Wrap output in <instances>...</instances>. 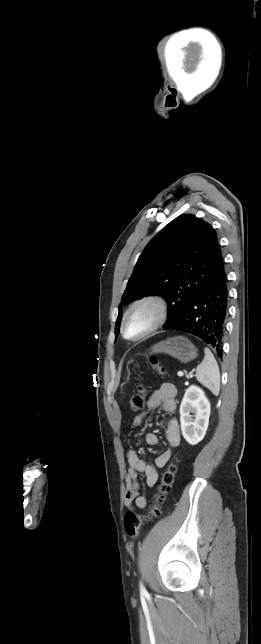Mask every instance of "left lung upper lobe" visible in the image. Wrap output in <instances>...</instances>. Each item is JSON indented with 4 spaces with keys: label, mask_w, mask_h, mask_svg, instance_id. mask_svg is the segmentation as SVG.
I'll use <instances>...</instances> for the list:
<instances>
[{
    "label": "left lung upper lobe",
    "mask_w": 261,
    "mask_h": 644,
    "mask_svg": "<svg viewBox=\"0 0 261 644\" xmlns=\"http://www.w3.org/2000/svg\"><path fill=\"white\" fill-rule=\"evenodd\" d=\"M223 259L215 230L200 218L181 215L147 245L128 281L119 307L145 295H162L173 323Z\"/></svg>",
    "instance_id": "5c2ea615"
}]
</instances>
